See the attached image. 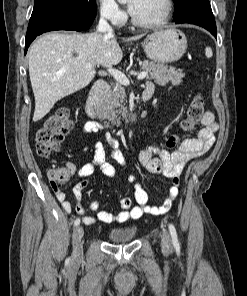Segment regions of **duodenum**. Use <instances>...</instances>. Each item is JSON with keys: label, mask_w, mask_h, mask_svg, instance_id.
<instances>
[{"label": "duodenum", "mask_w": 247, "mask_h": 296, "mask_svg": "<svg viewBox=\"0 0 247 296\" xmlns=\"http://www.w3.org/2000/svg\"><path fill=\"white\" fill-rule=\"evenodd\" d=\"M108 90H109L108 82L104 80L97 81L89 92L86 105H85V111H86V114L91 119L102 120L107 126H111L112 124L105 120L100 109V102L103 99V97L106 95ZM152 95H153V90H144V92L142 93V100L144 102H147L148 100L151 99ZM137 121H138V116L133 115L124 122L125 127L129 128L134 124H136Z\"/></svg>", "instance_id": "obj_1"}]
</instances>
